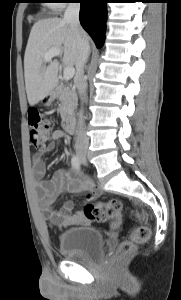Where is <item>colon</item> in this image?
<instances>
[{
	"label": "colon",
	"mask_w": 181,
	"mask_h": 300,
	"mask_svg": "<svg viewBox=\"0 0 181 300\" xmlns=\"http://www.w3.org/2000/svg\"><path fill=\"white\" fill-rule=\"evenodd\" d=\"M28 120L31 144L37 148L44 147L50 136V122L37 110L29 111ZM121 209V202L117 199H111L98 204H87L83 214L90 221H112V225L116 226L121 220ZM131 214L140 221V225L134 229L128 240L119 245L114 256L117 262L126 260L136 245L147 242L151 236V229L146 223L147 214L145 211L132 210Z\"/></svg>",
	"instance_id": "5ec220e1"
}]
</instances>
